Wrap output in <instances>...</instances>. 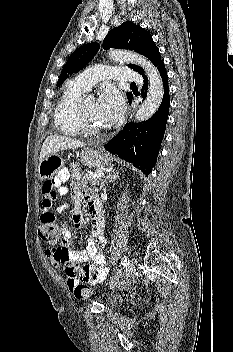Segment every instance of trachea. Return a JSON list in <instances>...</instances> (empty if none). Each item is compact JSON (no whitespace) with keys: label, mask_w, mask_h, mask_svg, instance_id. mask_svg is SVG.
Masks as SVG:
<instances>
[{"label":"trachea","mask_w":233,"mask_h":352,"mask_svg":"<svg viewBox=\"0 0 233 352\" xmlns=\"http://www.w3.org/2000/svg\"><path fill=\"white\" fill-rule=\"evenodd\" d=\"M131 85H136L135 83H131Z\"/></svg>","instance_id":"3493384b"}]
</instances>
